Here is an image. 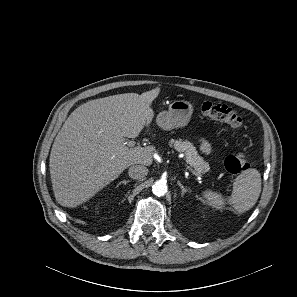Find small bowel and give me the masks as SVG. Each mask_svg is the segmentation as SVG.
<instances>
[{"label": "small bowel", "instance_id": "small-bowel-1", "mask_svg": "<svg viewBox=\"0 0 297 297\" xmlns=\"http://www.w3.org/2000/svg\"><path fill=\"white\" fill-rule=\"evenodd\" d=\"M201 149L205 154H209L210 153V145L209 143L205 140V139H201Z\"/></svg>", "mask_w": 297, "mask_h": 297}]
</instances>
